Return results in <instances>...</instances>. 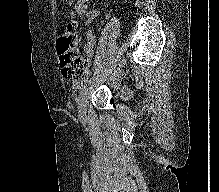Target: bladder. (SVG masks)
I'll return each mask as SVG.
<instances>
[{
    "label": "bladder",
    "mask_w": 219,
    "mask_h": 192,
    "mask_svg": "<svg viewBox=\"0 0 219 192\" xmlns=\"http://www.w3.org/2000/svg\"><path fill=\"white\" fill-rule=\"evenodd\" d=\"M129 96L128 88L125 86H118L115 91V99L118 102H124Z\"/></svg>",
    "instance_id": "31cf9c89"
}]
</instances>
